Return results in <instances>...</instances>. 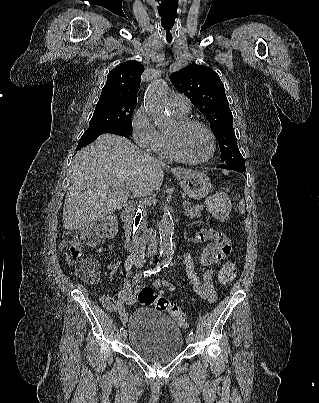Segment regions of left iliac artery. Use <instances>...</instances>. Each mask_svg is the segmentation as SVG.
<instances>
[{
	"label": "left iliac artery",
	"mask_w": 319,
	"mask_h": 403,
	"mask_svg": "<svg viewBox=\"0 0 319 403\" xmlns=\"http://www.w3.org/2000/svg\"><path fill=\"white\" fill-rule=\"evenodd\" d=\"M166 267H168V264L166 265ZM189 336H194V333L191 331V332L189 333Z\"/></svg>",
	"instance_id": "44dca946"
}]
</instances>
